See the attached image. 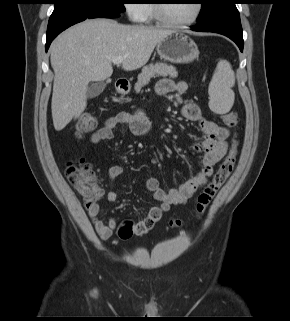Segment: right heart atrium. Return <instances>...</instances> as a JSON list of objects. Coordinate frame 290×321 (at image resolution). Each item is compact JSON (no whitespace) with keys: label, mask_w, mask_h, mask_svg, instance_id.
<instances>
[{"label":"right heart atrium","mask_w":290,"mask_h":321,"mask_svg":"<svg viewBox=\"0 0 290 321\" xmlns=\"http://www.w3.org/2000/svg\"><path fill=\"white\" fill-rule=\"evenodd\" d=\"M136 2V0H126L124 6L126 15L133 22L141 21L144 15L142 5Z\"/></svg>","instance_id":"1"}]
</instances>
